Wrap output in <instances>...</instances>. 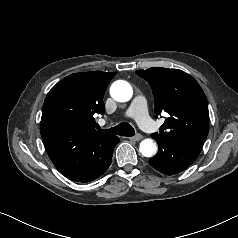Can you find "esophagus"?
I'll list each match as a JSON object with an SVG mask.
<instances>
[{
	"label": "esophagus",
	"mask_w": 238,
	"mask_h": 238,
	"mask_svg": "<svg viewBox=\"0 0 238 238\" xmlns=\"http://www.w3.org/2000/svg\"><path fill=\"white\" fill-rule=\"evenodd\" d=\"M142 138H143V136L141 134H137L133 137H129L128 139L132 140V141H140Z\"/></svg>",
	"instance_id": "1"
}]
</instances>
